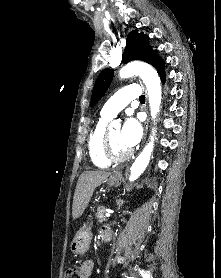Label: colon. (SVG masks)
<instances>
[{
    "mask_svg": "<svg viewBox=\"0 0 221 278\" xmlns=\"http://www.w3.org/2000/svg\"><path fill=\"white\" fill-rule=\"evenodd\" d=\"M65 278H84V274L79 267H69L65 272Z\"/></svg>",
    "mask_w": 221,
    "mask_h": 278,
    "instance_id": "obj_1",
    "label": "colon"
}]
</instances>
